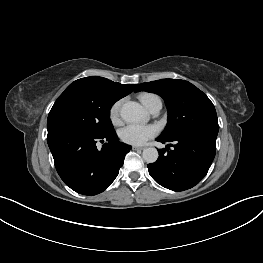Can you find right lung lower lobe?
Listing matches in <instances>:
<instances>
[{
	"label": "right lung lower lobe",
	"instance_id": "1",
	"mask_svg": "<svg viewBox=\"0 0 263 263\" xmlns=\"http://www.w3.org/2000/svg\"><path fill=\"white\" fill-rule=\"evenodd\" d=\"M56 170L72 190L83 195L103 192L117 177L130 145L118 142L115 132L96 135L68 131L48 136ZM99 142L103 147L99 149ZM107 142V143H104Z\"/></svg>",
	"mask_w": 263,
	"mask_h": 263
}]
</instances>
